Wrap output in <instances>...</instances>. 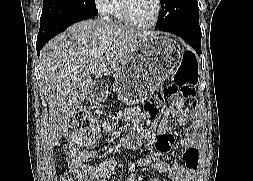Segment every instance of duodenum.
Returning a JSON list of instances; mask_svg holds the SVG:
<instances>
[{"instance_id": "duodenum-1", "label": "duodenum", "mask_w": 253, "mask_h": 181, "mask_svg": "<svg viewBox=\"0 0 253 181\" xmlns=\"http://www.w3.org/2000/svg\"><path fill=\"white\" fill-rule=\"evenodd\" d=\"M105 94L106 87L102 84L92 87L88 92V96L93 102H101Z\"/></svg>"}]
</instances>
